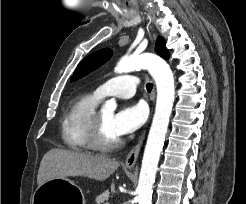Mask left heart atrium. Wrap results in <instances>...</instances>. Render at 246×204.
Returning <instances> with one entry per match:
<instances>
[{"mask_svg":"<svg viewBox=\"0 0 246 204\" xmlns=\"http://www.w3.org/2000/svg\"><path fill=\"white\" fill-rule=\"evenodd\" d=\"M147 118V111L143 104L136 103L124 106L113 115L112 128L120 137L136 131Z\"/></svg>","mask_w":246,"mask_h":204,"instance_id":"39dd6f15","label":"left heart atrium"}]
</instances>
